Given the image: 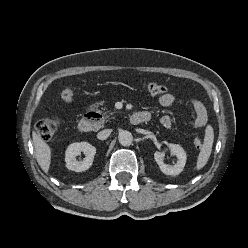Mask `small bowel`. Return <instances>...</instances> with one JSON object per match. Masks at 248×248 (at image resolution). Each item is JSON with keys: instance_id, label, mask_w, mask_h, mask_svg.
Returning <instances> with one entry per match:
<instances>
[{"instance_id": "obj_1", "label": "small bowel", "mask_w": 248, "mask_h": 248, "mask_svg": "<svg viewBox=\"0 0 248 248\" xmlns=\"http://www.w3.org/2000/svg\"><path fill=\"white\" fill-rule=\"evenodd\" d=\"M175 101L176 97L171 93H165L159 97V103L164 107L171 106ZM191 105L195 114L193 119L195 127L205 126L208 121V113L205 105L197 99H192ZM145 113L150 116L148 111H145ZM160 122L164 127L169 128L172 125V118L169 115H164L161 117Z\"/></svg>"}]
</instances>
